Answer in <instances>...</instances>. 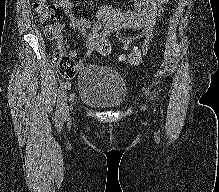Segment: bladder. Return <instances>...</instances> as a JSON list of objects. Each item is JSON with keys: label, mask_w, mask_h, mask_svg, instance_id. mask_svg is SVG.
<instances>
[{"label": "bladder", "mask_w": 219, "mask_h": 192, "mask_svg": "<svg viewBox=\"0 0 219 192\" xmlns=\"http://www.w3.org/2000/svg\"><path fill=\"white\" fill-rule=\"evenodd\" d=\"M78 98L94 107L117 108L124 104L127 86L113 69L103 65L84 66L78 74Z\"/></svg>", "instance_id": "1"}]
</instances>
